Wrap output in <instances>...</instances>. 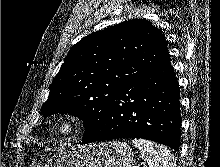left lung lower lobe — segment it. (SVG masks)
<instances>
[{
    "instance_id": "left-lung-lower-lobe-1",
    "label": "left lung lower lobe",
    "mask_w": 220,
    "mask_h": 167,
    "mask_svg": "<svg viewBox=\"0 0 220 167\" xmlns=\"http://www.w3.org/2000/svg\"><path fill=\"white\" fill-rule=\"evenodd\" d=\"M179 85L170 57L115 94L99 131L82 144L116 138H143L179 149Z\"/></svg>"
}]
</instances>
